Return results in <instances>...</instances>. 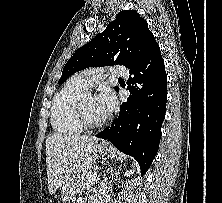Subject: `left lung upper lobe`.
<instances>
[{"instance_id":"obj_1","label":"left lung upper lobe","mask_w":222,"mask_h":203,"mask_svg":"<svg viewBox=\"0 0 222 203\" xmlns=\"http://www.w3.org/2000/svg\"><path fill=\"white\" fill-rule=\"evenodd\" d=\"M150 33L146 20L136 10L121 11L102 33L75 51L63 68L59 84L88 67L119 64L130 69L141 56ZM115 89L119 91L117 86Z\"/></svg>"}]
</instances>
